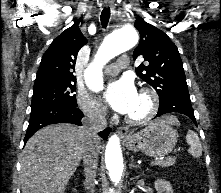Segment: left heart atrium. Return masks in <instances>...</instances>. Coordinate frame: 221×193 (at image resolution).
I'll return each mask as SVG.
<instances>
[{"mask_svg": "<svg viewBox=\"0 0 221 193\" xmlns=\"http://www.w3.org/2000/svg\"><path fill=\"white\" fill-rule=\"evenodd\" d=\"M104 99L114 111L127 115L136 104L138 92L131 79L121 78L109 84Z\"/></svg>", "mask_w": 221, "mask_h": 193, "instance_id": "left-heart-atrium-1", "label": "left heart atrium"}]
</instances>
